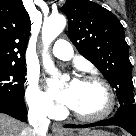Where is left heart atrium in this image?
<instances>
[{"instance_id": "39dd6f15", "label": "left heart atrium", "mask_w": 136, "mask_h": 136, "mask_svg": "<svg viewBox=\"0 0 136 136\" xmlns=\"http://www.w3.org/2000/svg\"><path fill=\"white\" fill-rule=\"evenodd\" d=\"M51 88L56 98L64 104L72 107L76 100V92L80 85V81L73 80L69 87L65 90H57L54 82H51Z\"/></svg>"}]
</instances>
